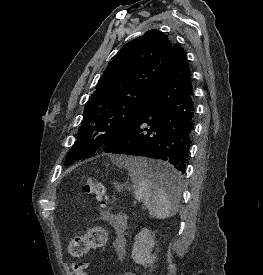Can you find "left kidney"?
<instances>
[{
  "label": "left kidney",
  "instance_id": "left-kidney-1",
  "mask_svg": "<svg viewBox=\"0 0 263 275\" xmlns=\"http://www.w3.org/2000/svg\"><path fill=\"white\" fill-rule=\"evenodd\" d=\"M155 245V235L143 228L134 238V245L131 257L133 261L139 265L147 266L154 260L151 252Z\"/></svg>",
  "mask_w": 263,
  "mask_h": 275
}]
</instances>
